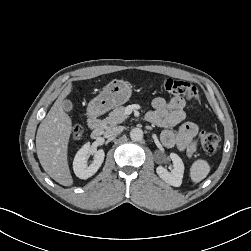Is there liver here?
Wrapping results in <instances>:
<instances>
[{
	"mask_svg": "<svg viewBox=\"0 0 251 251\" xmlns=\"http://www.w3.org/2000/svg\"><path fill=\"white\" fill-rule=\"evenodd\" d=\"M71 90L70 83L54 102L36 134V150L41 166L52 179L63 186L73 184L67 160L72 120L62 107V102Z\"/></svg>",
	"mask_w": 251,
	"mask_h": 251,
	"instance_id": "1",
	"label": "liver"
}]
</instances>
